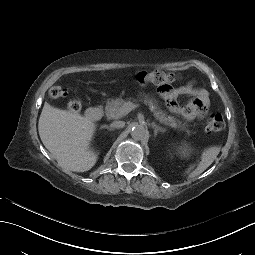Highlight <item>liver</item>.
<instances>
[{"label": "liver", "instance_id": "liver-1", "mask_svg": "<svg viewBox=\"0 0 255 255\" xmlns=\"http://www.w3.org/2000/svg\"><path fill=\"white\" fill-rule=\"evenodd\" d=\"M38 130L44 146L61 167L85 172L95 165L97 155L88 149L95 130L90 119L45 102Z\"/></svg>", "mask_w": 255, "mask_h": 255}]
</instances>
